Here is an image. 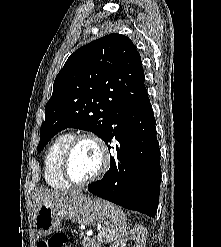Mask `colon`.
<instances>
[{"mask_svg": "<svg viewBox=\"0 0 221 247\" xmlns=\"http://www.w3.org/2000/svg\"><path fill=\"white\" fill-rule=\"evenodd\" d=\"M66 236L57 234L49 238L48 240H42L39 242V247H65Z\"/></svg>", "mask_w": 221, "mask_h": 247, "instance_id": "obj_1", "label": "colon"}]
</instances>
